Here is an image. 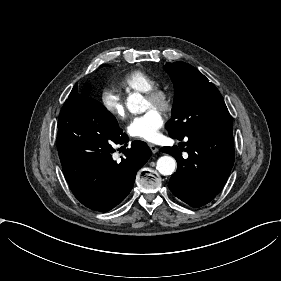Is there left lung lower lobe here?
<instances>
[{"label": "left lung lower lobe", "mask_w": 281, "mask_h": 281, "mask_svg": "<svg viewBox=\"0 0 281 281\" xmlns=\"http://www.w3.org/2000/svg\"><path fill=\"white\" fill-rule=\"evenodd\" d=\"M187 148L163 147L177 160V171L169 180L171 192L192 207H201L222 190L234 163L233 128L188 133ZM181 145V144H180ZM189 157L184 159L181 151Z\"/></svg>", "instance_id": "left-lung-lower-lobe-1"}]
</instances>
